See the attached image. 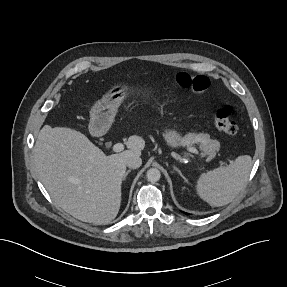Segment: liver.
<instances>
[{"instance_id": "liver-1", "label": "liver", "mask_w": 287, "mask_h": 287, "mask_svg": "<svg viewBox=\"0 0 287 287\" xmlns=\"http://www.w3.org/2000/svg\"><path fill=\"white\" fill-rule=\"evenodd\" d=\"M144 140L130 136L128 150L106 156L84 134L45 125L39 132L34 160L54 203L83 222L110 223L121 205V185L128 157L141 155Z\"/></svg>"}]
</instances>
